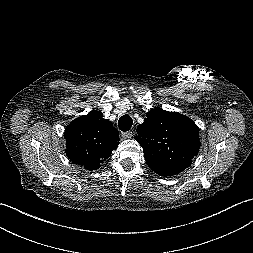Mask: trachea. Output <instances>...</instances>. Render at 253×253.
Wrapping results in <instances>:
<instances>
[{
	"label": "trachea",
	"instance_id": "3493384b",
	"mask_svg": "<svg viewBox=\"0 0 253 253\" xmlns=\"http://www.w3.org/2000/svg\"><path fill=\"white\" fill-rule=\"evenodd\" d=\"M133 120L129 115H123L118 121V127L121 131L126 132L132 127Z\"/></svg>",
	"mask_w": 253,
	"mask_h": 253
}]
</instances>
